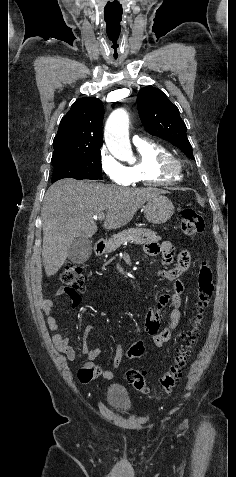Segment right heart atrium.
Here are the masks:
<instances>
[{
	"instance_id": "obj_1",
	"label": "right heart atrium",
	"mask_w": 236,
	"mask_h": 477,
	"mask_svg": "<svg viewBox=\"0 0 236 477\" xmlns=\"http://www.w3.org/2000/svg\"><path fill=\"white\" fill-rule=\"evenodd\" d=\"M100 167L113 183L127 186L130 182L127 167L118 161L106 146H103L100 151Z\"/></svg>"
}]
</instances>
